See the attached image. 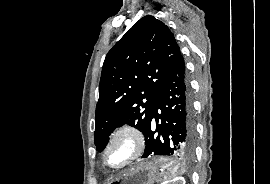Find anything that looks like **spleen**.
Returning a JSON list of instances; mask_svg holds the SVG:
<instances>
[{
	"mask_svg": "<svg viewBox=\"0 0 270 184\" xmlns=\"http://www.w3.org/2000/svg\"><path fill=\"white\" fill-rule=\"evenodd\" d=\"M161 160L164 161L162 163V168L165 169L168 166L167 160L166 159H161ZM177 169H178V166L177 167H174L172 169H169V170H163L162 173H161L163 182L161 184H165L170 179L176 177V175H177Z\"/></svg>",
	"mask_w": 270,
	"mask_h": 184,
	"instance_id": "3e777b00",
	"label": "spleen"
}]
</instances>
